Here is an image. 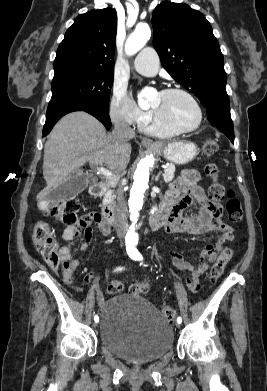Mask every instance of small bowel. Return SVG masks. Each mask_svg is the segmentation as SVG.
I'll list each match as a JSON object with an SVG mask.
<instances>
[{
  "label": "small bowel",
  "mask_w": 267,
  "mask_h": 391,
  "mask_svg": "<svg viewBox=\"0 0 267 391\" xmlns=\"http://www.w3.org/2000/svg\"><path fill=\"white\" fill-rule=\"evenodd\" d=\"M194 203L198 204L197 214L184 217L183 212ZM159 213L165 217V226L169 234L198 236L209 232L220 233L216 245L208 244L201 250L197 265L186 261L179 252L171 251L174 266L189 273L186 282L187 288L191 292L196 293L200 287L199 279L208 270L209 263L216 260L225 242L234 239L233 229L221 219V204L209 199L204 193L200 186V175L196 170L185 171L171 185L161 204ZM91 217L92 221L68 226L62 233L65 245L59 249V253L62 257L63 277L66 283H71L73 275L80 264V260L72 254V244L81 229H86L85 241L80 245L81 251L89 248L93 234L92 223L103 235H107L110 231L108 225L98 215L94 214ZM95 278L96 275L94 273H89L85 279L87 282H91ZM97 300L100 304L103 302L100 293H97Z\"/></svg>",
  "instance_id": "c3829d8e"
}]
</instances>
